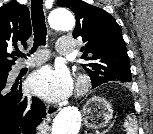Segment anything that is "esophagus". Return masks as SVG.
<instances>
[{
  "mask_svg": "<svg viewBox=\"0 0 153 134\" xmlns=\"http://www.w3.org/2000/svg\"><path fill=\"white\" fill-rule=\"evenodd\" d=\"M57 111H58L57 107L50 106V105L47 106L48 115L53 116V115H55L57 113Z\"/></svg>",
  "mask_w": 153,
  "mask_h": 134,
  "instance_id": "obj_1",
  "label": "esophagus"
}]
</instances>
